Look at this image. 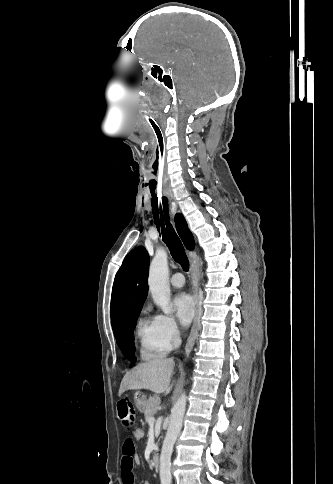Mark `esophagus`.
<instances>
[{
	"instance_id": "obj_1",
	"label": "esophagus",
	"mask_w": 333,
	"mask_h": 484,
	"mask_svg": "<svg viewBox=\"0 0 333 484\" xmlns=\"http://www.w3.org/2000/svg\"><path fill=\"white\" fill-rule=\"evenodd\" d=\"M169 207L172 214L178 212V203L173 194L168 195ZM187 253L190 259V275L192 279V296L195 304V317L191 327V331L185 346V357H187L197 338L198 333V323L200 317V306H199V270H198V258L195 251L187 249Z\"/></svg>"
}]
</instances>
